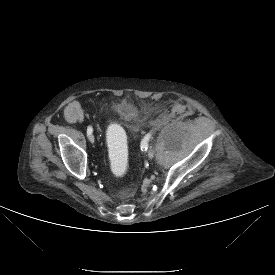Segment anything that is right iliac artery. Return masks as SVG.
Returning <instances> with one entry per match:
<instances>
[{
    "mask_svg": "<svg viewBox=\"0 0 275 275\" xmlns=\"http://www.w3.org/2000/svg\"><path fill=\"white\" fill-rule=\"evenodd\" d=\"M92 132H93V128L91 126H88V128H87V135L88 136L91 135Z\"/></svg>",
    "mask_w": 275,
    "mask_h": 275,
    "instance_id": "right-iliac-artery-1",
    "label": "right iliac artery"
}]
</instances>
